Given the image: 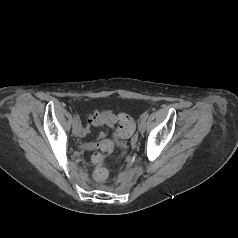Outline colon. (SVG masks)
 Instances as JSON below:
<instances>
[{"label": "colon", "instance_id": "1", "mask_svg": "<svg viewBox=\"0 0 238 238\" xmlns=\"http://www.w3.org/2000/svg\"><path fill=\"white\" fill-rule=\"evenodd\" d=\"M134 128L133 120L128 115L124 114L120 117L114 142L110 141L109 144L102 147V153L98 152L92 156V161L96 165V168L93 171V179L95 182L101 183L108 177V170L104 165L103 153L109 152L115 145L121 148L126 147V143L123 139L129 137L133 133Z\"/></svg>", "mask_w": 238, "mask_h": 238}]
</instances>
